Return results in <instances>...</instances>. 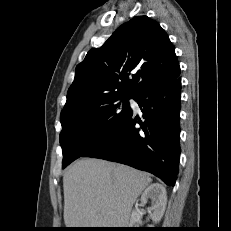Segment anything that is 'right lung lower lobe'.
Listing matches in <instances>:
<instances>
[{
    "label": "right lung lower lobe",
    "mask_w": 231,
    "mask_h": 231,
    "mask_svg": "<svg viewBox=\"0 0 231 231\" xmlns=\"http://www.w3.org/2000/svg\"><path fill=\"white\" fill-rule=\"evenodd\" d=\"M180 98L179 77L144 88L134 97L145 119L141 127L131 114L108 140L83 157L123 163L174 186L180 158Z\"/></svg>",
    "instance_id": "obj_1"
}]
</instances>
